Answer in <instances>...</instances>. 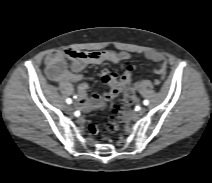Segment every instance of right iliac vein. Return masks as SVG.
I'll list each match as a JSON object with an SVG mask.
<instances>
[{
  "label": "right iliac vein",
  "mask_w": 212,
  "mask_h": 183,
  "mask_svg": "<svg viewBox=\"0 0 212 183\" xmlns=\"http://www.w3.org/2000/svg\"><path fill=\"white\" fill-rule=\"evenodd\" d=\"M66 110H67L69 113H71V112H72V107H71V106H67V107H66Z\"/></svg>",
  "instance_id": "1"
}]
</instances>
